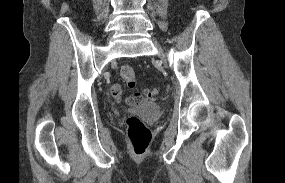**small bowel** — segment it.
I'll use <instances>...</instances> for the list:
<instances>
[{
	"instance_id": "1",
	"label": "small bowel",
	"mask_w": 285,
	"mask_h": 183,
	"mask_svg": "<svg viewBox=\"0 0 285 183\" xmlns=\"http://www.w3.org/2000/svg\"><path fill=\"white\" fill-rule=\"evenodd\" d=\"M121 94H122V89L119 85H113L111 87V95L113 98L119 99L121 97Z\"/></svg>"
}]
</instances>
